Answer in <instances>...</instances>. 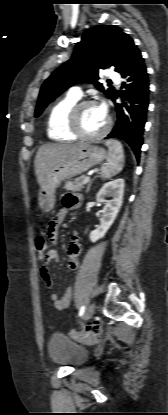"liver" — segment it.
I'll list each match as a JSON object with an SVG mask.
<instances>
[{
	"instance_id": "liver-1",
	"label": "liver",
	"mask_w": 168,
	"mask_h": 415,
	"mask_svg": "<svg viewBox=\"0 0 168 415\" xmlns=\"http://www.w3.org/2000/svg\"><path fill=\"white\" fill-rule=\"evenodd\" d=\"M82 146V143H56L41 146L34 161L35 174L39 185L43 184L46 175L54 165L75 154Z\"/></svg>"
}]
</instances>
